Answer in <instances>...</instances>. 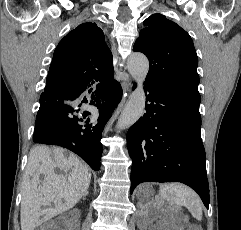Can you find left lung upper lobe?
<instances>
[{
  "instance_id": "1",
  "label": "left lung upper lobe",
  "mask_w": 241,
  "mask_h": 230,
  "mask_svg": "<svg viewBox=\"0 0 241 230\" xmlns=\"http://www.w3.org/2000/svg\"><path fill=\"white\" fill-rule=\"evenodd\" d=\"M144 26L133 50L144 53L149 59L146 82L161 84L201 99L198 92V57L189 34L161 14L148 17Z\"/></svg>"
}]
</instances>
